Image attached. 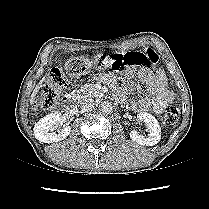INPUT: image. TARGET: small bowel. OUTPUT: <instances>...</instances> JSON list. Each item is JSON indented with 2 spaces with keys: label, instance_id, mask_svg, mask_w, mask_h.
<instances>
[{
  "label": "small bowel",
  "instance_id": "obj_1",
  "mask_svg": "<svg viewBox=\"0 0 209 209\" xmlns=\"http://www.w3.org/2000/svg\"><path fill=\"white\" fill-rule=\"evenodd\" d=\"M125 75L129 78L126 82L127 87L132 86V81L139 76V79L146 85L148 96L132 102V108L136 112L151 111L161 114L174 100V94L167 87V79L164 72L160 69L152 70L148 67H141L139 71L134 66H129L125 70ZM103 79L114 86V94L123 100L124 92L115 86V79L111 75H105Z\"/></svg>",
  "mask_w": 209,
  "mask_h": 209
}]
</instances>
